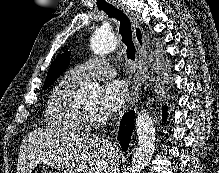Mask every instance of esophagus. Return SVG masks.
Listing matches in <instances>:
<instances>
[{"label":"esophagus","mask_w":219,"mask_h":173,"mask_svg":"<svg viewBox=\"0 0 219 173\" xmlns=\"http://www.w3.org/2000/svg\"><path fill=\"white\" fill-rule=\"evenodd\" d=\"M115 6L121 9L131 20L133 27L134 40L137 46L138 59L139 63H142L146 59L147 50H148V36L143 31L142 27L138 23L137 19L133 16L131 11L124 7L121 3H115ZM137 90V81L133 85V93L129 99V104H134L135 102V93Z\"/></svg>","instance_id":"34e87169"}]
</instances>
